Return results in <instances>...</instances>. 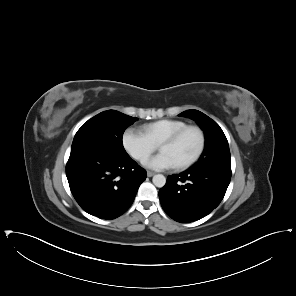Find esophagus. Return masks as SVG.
<instances>
[{
	"label": "esophagus",
	"mask_w": 296,
	"mask_h": 296,
	"mask_svg": "<svg viewBox=\"0 0 296 296\" xmlns=\"http://www.w3.org/2000/svg\"><path fill=\"white\" fill-rule=\"evenodd\" d=\"M153 175H155V173H154V172L147 171V176H148V177H152Z\"/></svg>",
	"instance_id": "1"
}]
</instances>
